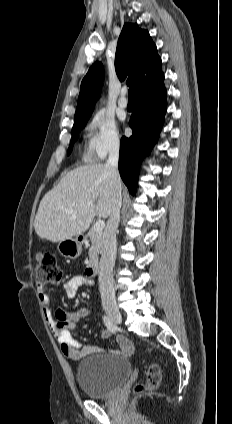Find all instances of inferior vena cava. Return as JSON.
<instances>
[{
    "mask_svg": "<svg viewBox=\"0 0 232 424\" xmlns=\"http://www.w3.org/2000/svg\"><path fill=\"white\" fill-rule=\"evenodd\" d=\"M119 140L115 139L109 146V157L106 168L109 171L114 186V202L112 214L102 236L101 259L99 264V290L102 303H115V287L113 282V267L116 259V230L120 221L122 205L121 180L118 172Z\"/></svg>",
    "mask_w": 232,
    "mask_h": 424,
    "instance_id": "inferior-vena-cava-1",
    "label": "inferior vena cava"
}]
</instances>
